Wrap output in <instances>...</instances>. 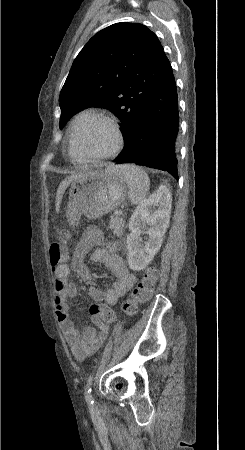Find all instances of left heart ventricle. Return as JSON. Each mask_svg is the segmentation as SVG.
<instances>
[{"instance_id":"obj_1","label":"left heart ventricle","mask_w":245,"mask_h":450,"mask_svg":"<svg viewBox=\"0 0 245 450\" xmlns=\"http://www.w3.org/2000/svg\"><path fill=\"white\" fill-rule=\"evenodd\" d=\"M115 144V134L103 122L83 124L76 134V149L86 156L104 155Z\"/></svg>"}]
</instances>
